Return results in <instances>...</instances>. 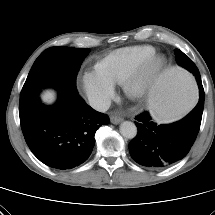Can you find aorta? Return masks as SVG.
<instances>
[{
    "label": "aorta",
    "mask_w": 215,
    "mask_h": 215,
    "mask_svg": "<svg viewBox=\"0 0 215 215\" xmlns=\"http://www.w3.org/2000/svg\"><path fill=\"white\" fill-rule=\"evenodd\" d=\"M120 133L127 139H133L137 135V127L131 121H124L120 124Z\"/></svg>",
    "instance_id": "obj_1"
}]
</instances>
